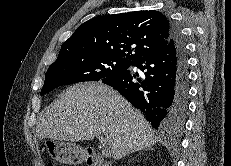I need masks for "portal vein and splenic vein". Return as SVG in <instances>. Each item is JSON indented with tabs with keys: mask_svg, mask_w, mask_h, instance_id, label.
I'll use <instances>...</instances> for the list:
<instances>
[{
	"mask_svg": "<svg viewBox=\"0 0 231 166\" xmlns=\"http://www.w3.org/2000/svg\"><path fill=\"white\" fill-rule=\"evenodd\" d=\"M97 138L102 146V155L106 158L109 157L111 152L108 144V139L104 137L102 134H98Z\"/></svg>",
	"mask_w": 231,
	"mask_h": 166,
	"instance_id": "18ae733b",
	"label": "portal vein and splenic vein"
}]
</instances>
